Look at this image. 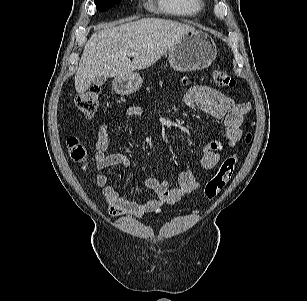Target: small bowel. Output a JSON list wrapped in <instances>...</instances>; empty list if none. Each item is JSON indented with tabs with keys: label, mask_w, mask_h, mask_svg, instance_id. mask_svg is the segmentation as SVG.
I'll return each instance as SVG.
<instances>
[{
	"label": "small bowel",
	"mask_w": 307,
	"mask_h": 301,
	"mask_svg": "<svg viewBox=\"0 0 307 301\" xmlns=\"http://www.w3.org/2000/svg\"><path fill=\"white\" fill-rule=\"evenodd\" d=\"M186 103L193 109L201 110L211 117L223 121L225 126L224 139L208 144L202 153L201 167L207 170V176L217 166L219 151L224 145L234 147L242 138L241 125L243 117L251 108L248 102H234L222 92L207 86L193 85L185 95ZM128 116H140L141 109L137 106L128 107ZM110 125L103 123L97 132L95 162L98 170L96 183L102 189L107 202V211L115 217L127 216L142 218L146 214H158L165 205H173L182 196L194 193L199 188L196 174L192 170H185L179 176L177 188H171L166 180L150 177L145 186L154 191L155 197L146 201H134L123 195L116 187L109 185V176L105 170L117 166L130 168V159L122 153L107 154L109 145Z\"/></svg>",
	"instance_id": "obj_1"
}]
</instances>
